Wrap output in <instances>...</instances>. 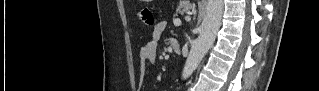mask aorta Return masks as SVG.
I'll list each match as a JSON object with an SVG mask.
<instances>
[{
  "label": "aorta",
  "instance_id": "aorta-1",
  "mask_svg": "<svg viewBox=\"0 0 319 91\" xmlns=\"http://www.w3.org/2000/svg\"><path fill=\"white\" fill-rule=\"evenodd\" d=\"M223 7V0L207 1L199 36L191 45L189 55L182 71L183 79H187L192 75L208 50L212 47L221 25Z\"/></svg>",
  "mask_w": 319,
  "mask_h": 91
}]
</instances>
